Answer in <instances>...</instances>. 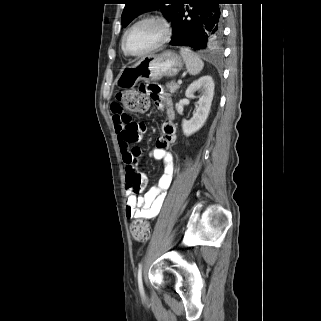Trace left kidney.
Listing matches in <instances>:
<instances>
[{
	"instance_id": "left-kidney-1",
	"label": "left kidney",
	"mask_w": 321,
	"mask_h": 321,
	"mask_svg": "<svg viewBox=\"0 0 321 321\" xmlns=\"http://www.w3.org/2000/svg\"><path fill=\"white\" fill-rule=\"evenodd\" d=\"M196 91H201L196 112L189 121H182V130L186 136L197 132L208 118L214 95V82L212 77L206 75L191 83L185 92V96L187 98H194Z\"/></svg>"
}]
</instances>
